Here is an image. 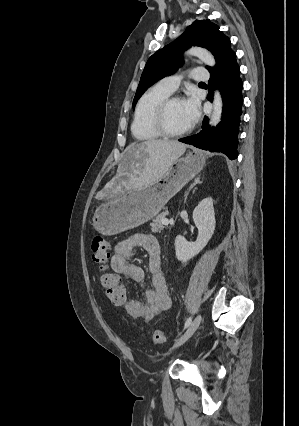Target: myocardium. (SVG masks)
I'll use <instances>...</instances> for the list:
<instances>
[{
	"instance_id": "1",
	"label": "myocardium",
	"mask_w": 299,
	"mask_h": 426,
	"mask_svg": "<svg viewBox=\"0 0 299 426\" xmlns=\"http://www.w3.org/2000/svg\"><path fill=\"white\" fill-rule=\"evenodd\" d=\"M175 101H183L181 97L176 95H170L166 97L160 104L157 106L154 115H153V125L157 132L164 137L174 138L180 137L192 130V123L186 128L179 131H172L168 128L166 122V116L170 105Z\"/></svg>"
}]
</instances>
